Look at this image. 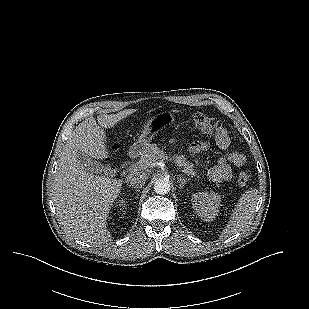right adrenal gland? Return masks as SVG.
Masks as SVG:
<instances>
[{
    "label": "right adrenal gland",
    "instance_id": "1",
    "mask_svg": "<svg viewBox=\"0 0 309 309\" xmlns=\"http://www.w3.org/2000/svg\"><path fill=\"white\" fill-rule=\"evenodd\" d=\"M130 187H131V186H130ZM132 188H134L136 192H139V191H140L141 186H132Z\"/></svg>",
    "mask_w": 309,
    "mask_h": 309
}]
</instances>
